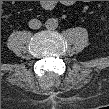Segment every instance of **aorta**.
Listing matches in <instances>:
<instances>
[{"instance_id": "1", "label": "aorta", "mask_w": 109, "mask_h": 109, "mask_svg": "<svg viewBox=\"0 0 109 109\" xmlns=\"http://www.w3.org/2000/svg\"><path fill=\"white\" fill-rule=\"evenodd\" d=\"M45 27L47 29H56L58 27V20L55 18H50L45 22Z\"/></svg>"}]
</instances>
